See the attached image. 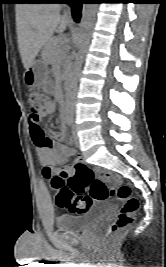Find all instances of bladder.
Here are the masks:
<instances>
[{
  "label": "bladder",
  "mask_w": 166,
  "mask_h": 267,
  "mask_svg": "<svg viewBox=\"0 0 166 267\" xmlns=\"http://www.w3.org/2000/svg\"><path fill=\"white\" fill-rule=\"evenodd\" d=\"M96 214L86 213L79 215L63 214L56 218L58 230L67 232H81L89 229L96 222Z\"/></svg>",
  "instance_id": "1"
}]
</instances>
